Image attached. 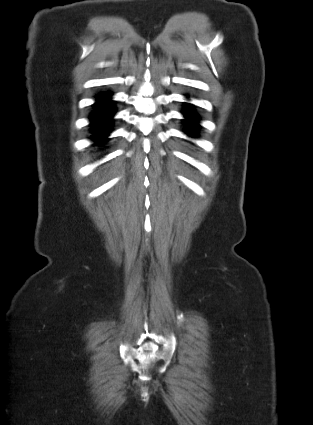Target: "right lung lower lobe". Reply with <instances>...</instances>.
Masks as SVG:
<instances>
[{
  "label": "right lung lower lobe",
  "instance_id": "98d812e1",
  "mask_svg": "<svg viewBox=\"0 0 313 425\" xmlns=\"http://www.w3.org/2000/svg\"><path fill=\"white\" fill-rule=\"evenodd\" d=\"M93 106L94 111L90 115V125L93 132L91 138L97 143H103L112 126L114 102L110 100L109 93H100Z\"/></svg>",
  "mask_w": 313,
  "mask_h": 425
}]
</instances>
